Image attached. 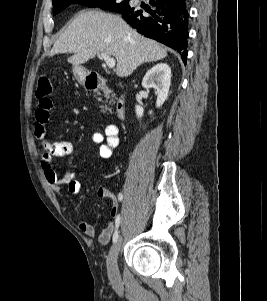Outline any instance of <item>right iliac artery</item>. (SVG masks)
<instances>
[{"mask_svg":"<svg viewBox=\"0 0 267 301\" xmlns=\"http://www.w3.org/2000/svg\"><path fill=\"white\" fill-rule=\"evenodd\" d=\"M122 197H123L122 194L118 195L119 200H121ZM120 222H121V217H120V215H118V217L116 218V230L113 234V242L114 243L118 240V233H119L118 228H119Z\"/></svg>","mask_w":267,"mask_h":301,"instance_id":"82829eb1","label":"right iliac artery"}]
</instances>
